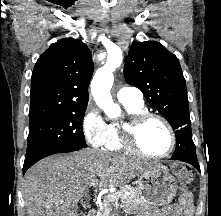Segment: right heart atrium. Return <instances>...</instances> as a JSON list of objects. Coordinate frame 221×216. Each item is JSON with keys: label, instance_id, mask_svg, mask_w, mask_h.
I'll use <instances>...</instances> for the list:
<instances>
[{"label": "right heart atrium", "instance_id": "obj_1", "mask_svg": "<svg viewBox=\"0 0 221 216\" xmlns=\"http://www.w3.org/2000/svg\"><path fill=\"white\" fill-rule=\"evenodd\" d=\"M85 140L93 147L103 146L107 135V123L99 110L91 103L88 104L81 122Z\"/></svg>", "mask_w": 221, "mask_h": 216}]
</instances>
